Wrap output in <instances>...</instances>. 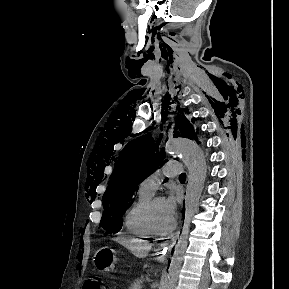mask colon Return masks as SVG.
Returning <instances> with one entry per match:
<instances>
[{"instance_id":"5ec220e1","label":"colon","mask_w":289,"mask_h":289,"mask_svg":"<svg viewBox=\"0 0 289 289\" xmlns=\"http://www.w3.org/2000/svg\"><path fill=\"white\" fill-rule=\"evenodd\" d=\"M84 289H104V287L99 280L90 279L85 283Z\"/></svg>"}]
</instances>
